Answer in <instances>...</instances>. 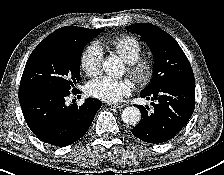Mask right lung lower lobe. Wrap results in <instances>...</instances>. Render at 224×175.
Here are the masks:
<instances>
[{
	"mask_svg": "<svg viewBox=\"0 0 224 175\" xmlns=\"http://www.w3.org/2000/svg\"><path fill=\"white\" fill-rule=\"evenodd\" d=\"M18 94L31 131L42 141L59 147L68 146L83 137L101 107V102L95 98L87 99L81 106L67 105L70 91L55 87L22 86Z\"/></svg>",
	"mask_w": 224,
	"mask_h": 175,
	"instance_id": "98d812e1",
	"label": "right lung lower lobe"
}]
</instances>
